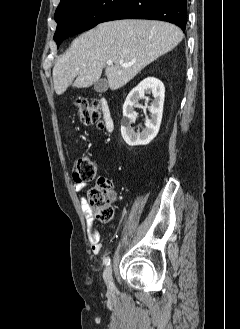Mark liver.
Here are the masks:
<instances>
[{
  "instance_id": "1",
  "label": "liver",
  "mask_w": 240,
  "mask_h": 329,
  "mask_svg": "<svg viewBox=\"0 0 240 329\" xmlns=\"http://www.w3.org/2000/svg\"><path fill=\"white\" fill-rule=\"evenodd\" d=\"M183 39L175 25L151 20H119L99 24L77 37L53 68L54 89L86 88L105 68L108 85L117 90ZM111 60L114 65L106 66ZM121 63L130 64L122 67Z\"/></svg>"
}]
</instances>
